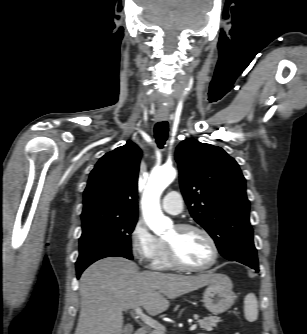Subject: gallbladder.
<instances>
[{"mask_svg":"<svg viewBox=\"0 0 307 334\" xmlns=\"http://www.w3.org/2000/svg\"><path fill=\"white\" fill-rule=\"evenodd\" d=\"M132 331H133V327L130 324L125 326V328H124V333L125 334H131Z\"/></svg>","mask_w":307,"mask_h":334,"instance_id":"1","label":"gallbladder"}]
</instances>
